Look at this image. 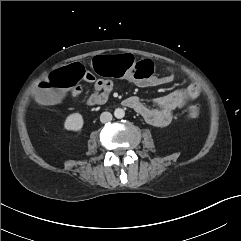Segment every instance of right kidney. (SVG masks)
<instances>
[{"mask_svg":"<svg viewBox=\"0 0 241 241\" xmlns=\"http://www.w3.org/2000/svg\"><path fill=\"white\" fill-rule=\"evenodd\" d=\"M83 125L84 119L80 113L70 114L64 122V128L68 131L74 132L81 131Z\"/></svg>","mask_w":241,"mask_h":241,"instance_id":"obj_1","label":"right kidney"}]
</instances>
